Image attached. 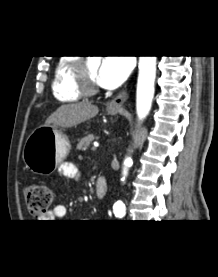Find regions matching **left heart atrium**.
<instances>
[{
    "instance_id": "left-heart-atrium-1",
    "label": "left heart atrium",
    "mask_w": 218,
    "mask_h": 277,
    "mask_svg": "<svg viewBox=\"0 0 218 277\" xmlns=\"http://www.w3.org/2000/svg\"><path fill=\"white\" fill-rule=\"evenodd\" d=\"M130 70L128 57H105L96 73V82L104 88H116L127 78Z\"/></svg>"
}]
</instances>
